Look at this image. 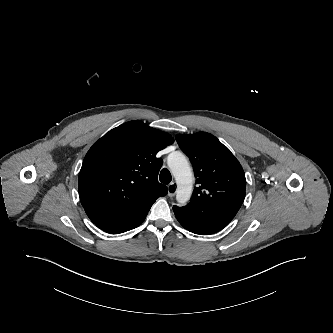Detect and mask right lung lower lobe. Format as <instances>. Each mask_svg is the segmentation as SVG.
I'll use <instances>...</instances> for the list:
<instances>
[{
    "mask_svg": "<svg viewBox=\"0 0 333 333\" xmlns=\"http://www.w3.org/2000/svg\"><path fill=\"white\" fill-rule=\"evenodd\" d=\"M145 217H146V215L137 220H134L126 225L112 227V228L106 229L104 231L107 233H110V234H119V233L129 231V230L134 229L137 226H139L144 221Z\"/></svg>",
    "mask_w": 333,
    "mask_h": 333,
    "instance_id": "1",
    "label": "right lung lower lobe"
}]
</instances>
